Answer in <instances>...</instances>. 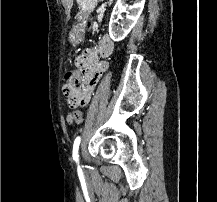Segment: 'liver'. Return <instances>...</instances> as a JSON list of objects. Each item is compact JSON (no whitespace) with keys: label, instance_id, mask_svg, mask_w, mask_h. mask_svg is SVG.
Masks as SVG:
<instances>
[{"label":"liver","instance_id":"liver-1","mask_svg":"<svg viewBox=\"0 0 217 202\" xmlns=\"http://www.w3.org/2000/svg\"><path fill=\"white\" fill-rule=\"evenodd\" d=\"M63 6H65L66 14H70V10L73 6V0H61Z\"/></svg>","mask_w":217,"mask_h":202}]
</instances>
